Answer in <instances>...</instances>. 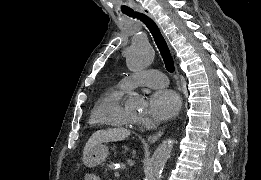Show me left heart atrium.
I'll use <instances>...</instances> for the list:
<instances>
[{
	"instance_id": "obj_1",
	"label": "left heart atrium",
	"mask_w": 261,
	"mask_h": 180,
	"mask_svg": "<svg viewBox=\"0 0 261 180\" xmlns=\"http://www.w3.org/2000/svg\"><path fill=\"white\" fill-rule=\"evenodd\" d=\"M179 106L180 99L174 91L166 88L157 89L149 96L146 108L141 114V121L148 118L167 119L178 111Z\"/></svg>"
}]
</instances>
